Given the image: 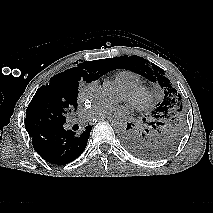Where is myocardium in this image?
Returning a JSON list of instances; mask_svg holds the SVG:
<instances>
[{"mask_svg": "<svg viewBox=\"0 0 213 213\" xmlns=\"http://www.w3.org/2000/svg\"><path fill=\"white\" fill-rule=\"evenodd\" d=\"M126 94V100L138 111H147L154 106L155 98L150 87L138 84L132 87L122 88Z\"/></svg>", "mask_w": 213, "mask_h": 213, "instance_id": "myocardium-1", "label": "myocardium"}]
</instances>
